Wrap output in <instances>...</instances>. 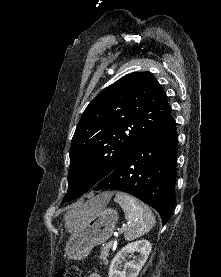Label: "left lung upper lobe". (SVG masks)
I'll return each mask as SVG.
<instances>
[{
  "instance_id": "1",
  "label": "left lung upper lobe",
  "mask_w": 221,
  "mask_h": 277,
  "mask_svg": "<svg viewBox=\"0 0 221 277\" xmlns=\"http://www.w3.org/2000/svg\"><path fill=\"white\" fill-rule=\"evenodd\" d=\"M166 94L150 72L124 76L86 107L71 141L68 191L78 197L107 177L169 114Z\"/></svg>"
}]
</instances>
